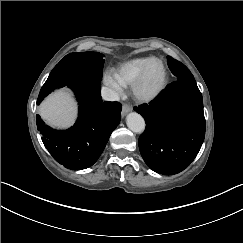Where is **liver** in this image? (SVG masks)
<instances>
[{"label":"liver","instance_id":"obj_1","mask_svg":"<svg viewBox=\"0 0 243 243\" xmlns=\"http://www.w3.org/2000/svg\"><path fill=\"white\" fill-rule=\"evenodd\" d=\"M38 112L53 127L68 128L77 116V105L67 89L50 94L39 106Z\"/></svg>","mask_w":243,"mask_h":243}]
</instances>
